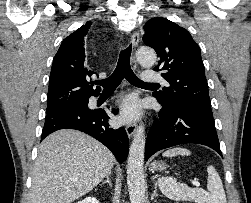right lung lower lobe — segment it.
Masks as SVG:
<instances>
[{"mask_svg":"<svg viewBox=\"0 0 251 203\" xmlns=\"http://www.w3.org/2000/svg\"><path fill=\"white\" fill-rule=\"evenodd\" d=\"M88 99L47 112L42 140L60 129L79 130L103 143L122 163L127 158L129 147L125 129L112 128L108 123V114L103 109H90ZM112 113L117 114L118 110L112 109Z\"/></svg>","mask_w":251,"mask_h":203,"instance_id":"right-lung-lower-lobe-1","label":"right lung lower lobe"}]
</instances>
